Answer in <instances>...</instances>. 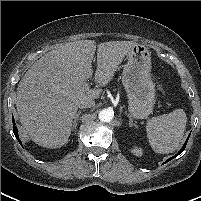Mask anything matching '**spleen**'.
<instances>
[{
  "label": "spleen",
  "instance_id": "3e777b00",
  "mask_svg": "<svg viewBox=\"0 0 201 201\" xmlns=\"http://www.w3.org/2000/svg\"><path fill=\"white\" fill-rule=\"evenodd\" d=\"M187 117L183 109L152 117L146 124V132L153 150L167 154L177 150L183 140Z\"/></svg>",
  "mask_w": 201,
  "mask_h": 201
}]
</instances>
